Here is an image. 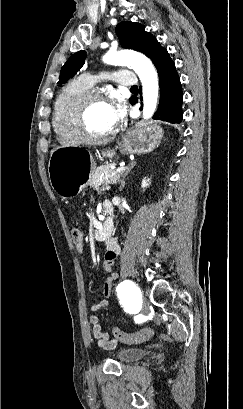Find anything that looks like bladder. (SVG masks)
I'll list each match as a JSON object with an SVG mask.
<instances>
[{"label":"bladder","mask_w":243,"mask_h":409,"mask_svg":"<svg viewBox=\"0 0 243 409\" xmlns=\"http://www.w3.org/2000/svg\"><path fill=\"white\" fill-rule=\"evenodd\" d=\"M145 355V349L136 347L122 348L115 352V358L123 364L137 361Z\"/></svg>","instance_id":"31cf9c89"}]
</instances>
